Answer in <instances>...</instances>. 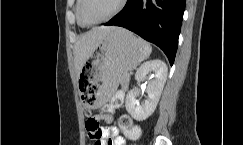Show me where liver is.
Returning a JSON list of instances; mask_svg holds the SVG:
<instances>
[{
  "label": "liver",
  "mask_w": 243,
  "mask_h": 145,
  "mask_svg": "<svg viewBox=\"0 0 243 145\" xmlns=\"http://www.w3.org/2000/svg\"><path fill=\"white\" fill-rule=\"evenodd\" d=\"M118 27H94L80 35L74 45V62L77 78L85 62L93 55L103 39Z\"/></svg>",
  "instance_id": "1"
}]
</instances>
